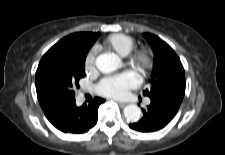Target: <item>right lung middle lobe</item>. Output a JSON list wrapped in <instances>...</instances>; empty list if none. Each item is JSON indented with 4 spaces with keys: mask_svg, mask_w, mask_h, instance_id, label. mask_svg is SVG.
I'll use <instances>...</instances> for the list:
<instances>
[{
    "mask_svg": "<svg viewBox=\"0 0 225 155\" xmlns=\"http://www.w3.org/2000/svg\"><path fill=\"white\" fill-rule=\"evenodd\" d=\"M85 58L82 53L53 57L40 67L38 77L44 90L56 100L73 99V88L79 87L80 78L85 76Z\"/></svg>",
    "mask_w": 225,
    "mask_h": 155,
    "instance_id": "dd1d6c3e",
    "label": "right lung middle lobe"
}]
</instances>
